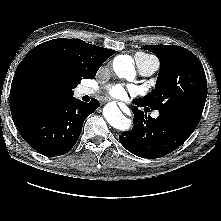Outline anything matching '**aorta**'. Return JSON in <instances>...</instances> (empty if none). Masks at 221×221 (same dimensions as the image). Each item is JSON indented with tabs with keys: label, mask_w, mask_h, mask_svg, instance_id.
<instances>
[{
	"label": "aorta",
	"mask_w": 221,
	"mask_h": 221,
	"mask_svg": "<svg viewBox=\"0 0 221 221\" xmlns=\"http://www.w3.org/2000/svg\"><path fill=\"white\" fill-rule=\"evenodd\" d=\"M113 68L115 73L121 78L133 80L135 77L133 61L127 56L116 57L113 62ZM103 115L107 122L118 130H128L131 126V121L123 115L114 103H109L104 107Z\"/></svg>",
	"instance_id": "obj_1"
}]
</instances>
